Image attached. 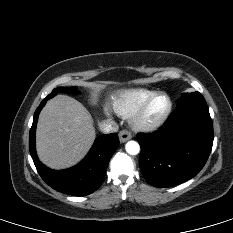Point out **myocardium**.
Segmentation results:
<instances>
[{"instance_id": "1", "label": "myocardium", "mask_w": 233, "mask_h": 233, "mask_svg": "<svg viewBox=\"0 0 233 233\" xmlns=\"http://www.w3.org/2000/svg\"><path fill=\"white\" fill-rule=\"evenodd\" d=\"M163 96L167 99L168 105L165 112L155 121L146 122L145 114L151 103L158 97ZM173 108V103L168 94L165 92H156L147 98L141 106L134 112L130 117V122L132 127L140 132H153L159 129L169 118Z\"/></svg>"}]
</instances>
